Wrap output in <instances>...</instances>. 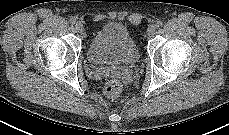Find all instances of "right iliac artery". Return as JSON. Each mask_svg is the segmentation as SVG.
I'll return each instance as SVG.
<instances>
[{"mask_svg":"<svg viewBox=\"0 0 229 135\" xmlns=\"http://www.w3.org/2000/svg\"><path fill=\"white\" fill-rule=\"evenodd\" d=\"M69 22H70L71 24H76V19H75V18H71V19L69 20Z\"/></svg>","mask_w":229,"mask_h":135,"instance_id":"right-iliac-artery-1","label":"right iliac artery"}]
</instances>
